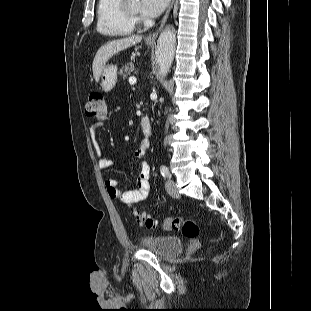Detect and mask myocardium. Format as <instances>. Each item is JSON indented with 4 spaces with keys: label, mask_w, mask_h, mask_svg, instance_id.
<instances>
[{
    "label": "myocardium",
    "mask_w": 311,
    "mask_h": 311,
    "mask_svg": "<svg viewBox=\"0 0 311 311\" xmlns=\"http://www.w3.org/2000/svg\"><path fill=\"white\" fill-rule=\"evenodd\" d=\"M129 0H122V10L124 12L125 17L131 23L133 26L139 25L142 22V19L140 18L138 13L133 12L129 5Z\"/></svg>",
    "instance_id": "obj_1"
}]
</instances>
